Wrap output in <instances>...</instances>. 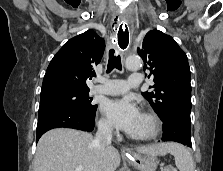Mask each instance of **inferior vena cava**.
<instances>
[{"label": "inferior vena cava", "mask_w": 223, "mask_h": 171, "mask_svg": "<svg viewBox=\"0 0 223 171\" xmlns=\"http://www.w3.org/2000/svg\"><path fill=\"white\" fill-rule=\"evenodd\" d=\"M112 126L108 123H100L94 142L99 149H104L111 144Z\"/></svg>", "instance_id": "602c4592"}]
</instances>
